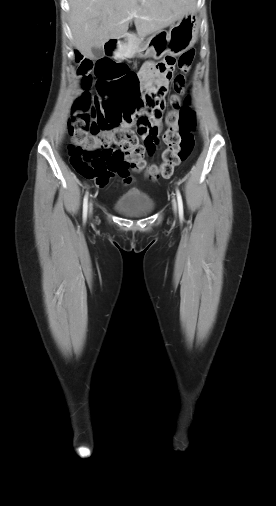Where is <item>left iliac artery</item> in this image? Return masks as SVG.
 Segmentation results:
<instances>
[{
	"label": "left iliac artery",
	"mask_w": 276,
	"mask_h": 506,
	"mask_svg": "<svg viewBox=\"0 0 276 506\" xmlns=\"http://www.w3.org/2000/svg\"><path fill=\"white\" fill-rule=\"evenodd\" d=\"M176 195H177V201H178L179 217L181 219H183V214H184V211H183V201H182L181 193H180V191L178 189L176 190Z\"/></svg>",
	"instance_id": "obj_1"
}]
</instances>
